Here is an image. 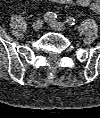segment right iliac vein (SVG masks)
<instances>
[{"label": "right iliac vein", "mask_w": 100, "mask_h": 118, "mask_svg": "<svg viewBox=\"0 0 100 118\" xmlns=\"http://www.w3.org/2000/svg\"><path fill=\"white\" fill-rule=\"evenodd\" d=\"M43 26V20L42 19H37L32 23V28L34 30H39Z\"/></svg>", "instance_id": "right-iliac-vein-1"}]
</instances>
